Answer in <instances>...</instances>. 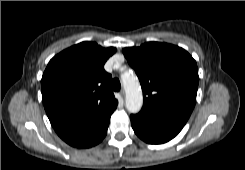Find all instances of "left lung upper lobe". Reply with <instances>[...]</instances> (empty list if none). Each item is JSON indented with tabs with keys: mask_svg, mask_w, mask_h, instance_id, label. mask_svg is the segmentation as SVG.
<instances>
[{
	"mask_svg": "<svg viewBox=\"0 0 245 170\" xmlns=\"http://www.w3.org/2000/svg\"><path fill=\"white\" fill-rule=\"evenodd\" d=\"M143 90L142 112L185 125L196 103V61L183 48L159 42L124 48Z\"/></svg>",
	"mask_w": 245,
	"mask_h": 170,
	"instance_id": "left-lung-upper-lobe-1",
	"label": "left lung upper lobe"
}]
</instances>
